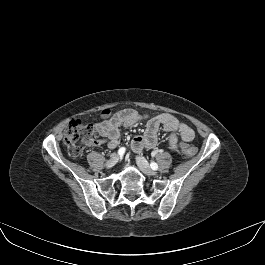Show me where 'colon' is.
Returning a JSON list of instances; mask_svg holds the SVG:
<instances>
[{
    "instance_id": "colon-1",
    "label": "colon",
    "mask_w": 265,
    "mask_h": 265,
    "mask_svg": "<svg viewBox=\"0 0 265 265\" xmlns=\"http://www.w3.org/2000/svg\"><path fill=\"white\" fill-rule=\"evenodd\" d=\"M110 113L111 111L107 109L101 114L103 117H107ZM96 138V127L83 124L80 120H73L65 131L63 143L70 156L79 158L86 147L96 143ZM180 151L187 158L196 154V148L188 144H181Z\"/></svg>"
}]
</instances>
